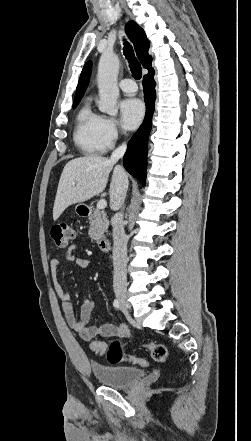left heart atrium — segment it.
I'll list each match as a JSON object with an SVG mask.
<instances>
[{"mask_svg":"<svg viewBox=\"0 0 251 441\" xmlns=\"http://www.w3.org/2000/svg\"><path fill=\"white\" fill-rule=\"evenodd\" d=\"M120 116L122 125L126 129L136 128L142 121L145 113L144 104L137 98H127L121 101Z\"/></svg>","mask_w":251,"mask_h":441,"instance_id":"39dd6f15","label":"left heart atrium"}]
</instances>
